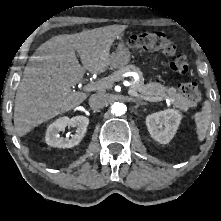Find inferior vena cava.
Here are the masks:
<instances>
[{
  "mask_svg": "<svg viewBox=\"0 0 221 221\" xmlns=\"http://www.w3.org/2000/svg\"><path fill=\"white\" fill-rule=\"evenodd\" d=\"M109 102L108 96L104 93L93 94L89 98V106L92 109H100L106 106Z\"/></svg>",
  "mask_w": 221,
  "mask_h": 221,
  "instance_id": "inferior-vena-cava-1",
  "label": "inferior vena cava"
}]
</instances>
